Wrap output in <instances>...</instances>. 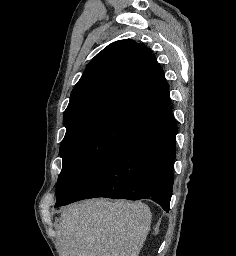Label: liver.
I'll return each mask as SVG.
<instances>
[{
  "label": "liver",
  "mask_w": 236,
  "mask_h": 256,
  "mask_svg": "<svg viewBox=\"0 0 236 256\" xmlns=\"http://www.w3.org/2000/svg\"><path fill=\"white\" fill-rule=\"evenodd\" d=\"M151 220L142 202L95 198L63 208L56 230L64 256H139Z\"/></svg>",
  "instance_id": "obj_1"
}]
</instances>
